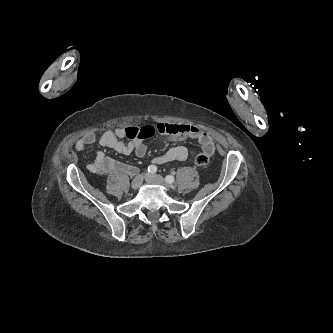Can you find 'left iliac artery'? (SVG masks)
Here are the masks:
<instances>
[{"instance_id": "44dca946", "label": "left iliac artery", "mask_w": 333, "mask_h": 333, "mask_svg": "<svg viewBox=\"0 0 333 333\" xmlns=\"http://www.w3.org/2000/svg\"><path fill=\"white\" fill-rule=\"evenodd\" d=\"M165 180L167 183L172 184L174 182V177L172 175H168Z\"/></svg>"}]
</instances>
